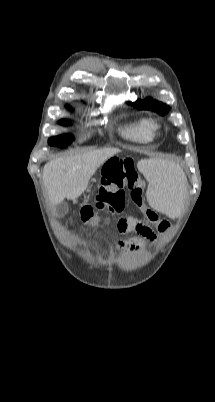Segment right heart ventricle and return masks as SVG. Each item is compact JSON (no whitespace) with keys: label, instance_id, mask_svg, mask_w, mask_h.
I'll use <instances>...</instances> for the list:
<instances>
[{"label":"right heart ventricle","instance_id":"e07e8e85","mask_svg":"<svg viewBox=\"0 0 215 402\" xmlns=\"http://www.w3.org/2000/svg\"><path fill=\"white\" fill-rule=\"evenodd\" d=\"M155 126L153 122L146 117H140L128 121L119 130L120 135L127 140L146 143L153 139Z\"/></svg>","mask_w":215,"mask_h":402}]
</instances>
